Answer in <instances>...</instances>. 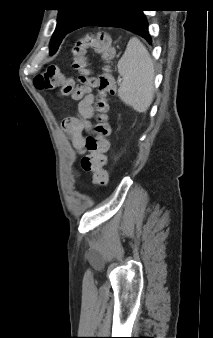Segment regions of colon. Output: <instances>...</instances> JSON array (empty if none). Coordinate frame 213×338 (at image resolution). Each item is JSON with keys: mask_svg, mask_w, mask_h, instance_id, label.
I'll return each instance as SVG.
<instances>
[{"mask_svg": "<svg viewBox=\"0 0 213 338\" xmlns=\"http://www.w3.org/2000/svg\"><path fill=\"white\" fill-rule=\"evenodd\" d=\"M95 51L102 59L109 62L116 55V46L106 34H87L74 40L71 46L75 57L74 67L79 71V83L76 84L70 77L65 76L55 65H48L35 79V85L41 90H56L59 95L69 96L74 101L81 98L82 93L88 88L96 89V124L85 141L87 155L81 159V168L93 175L97 185L105 186L110 182L107 169V152L109 150L108 136L111 131L108 122L107 96L114 93V78L104 70L96 78L88 67L89 50ZM66 130L74 131L78 128L76 118H67L63 121Z\"/></svg>", "mask_w": 213, "mask_h": 338, "instance_id": "5ec220e1", "label": "colon"}]
</instances>
